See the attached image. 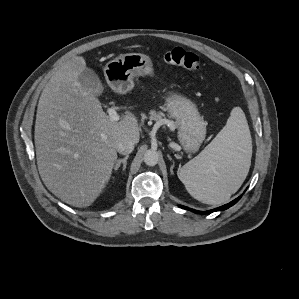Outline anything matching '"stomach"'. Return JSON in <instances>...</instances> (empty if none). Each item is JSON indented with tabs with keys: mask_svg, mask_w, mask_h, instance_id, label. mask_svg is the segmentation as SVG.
<instances>
[{
	"mask_svg": "<svg viewBox=\"0 0 299 299\" xmlns=\"http://www.w3.org/2000/svg\"><path fill=\"white\" fill-rule=\"evenodd\" d=\"M151 59L142 53L121 54L109 61L104 76L118 93H126L134 86V77L152 76ZM165 109L176 120L178 140L187 153L198 151L206 136V125L196 105L186 97L172 93L166 98Z\"/></svg>",
	"mask_w": 299,
	"mask_h": 299,
	"instance_id": "0dacf381",
	"label": "stomach"
}]
</instances>
